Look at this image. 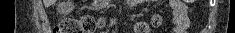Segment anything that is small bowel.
Returning <instances> with one entry per match:
<instances>
[{
  "label": "small bowel",
  "mask_w": 235,
  "mask_h": 33,
  "mask_svg": "<svg viewBox=\"0 0 235 33\" xmlns=\"http://www.w3.org/2000/svg\"><path fill=\"white\" fill-rule=\"evenodd\" d=\"M169 5L172 9L171 22L174 33H187L190 27L187 5L181 0H170Z\"/></svg>",
  "instance_id": "small-bowel-1"
}]
</instances>
